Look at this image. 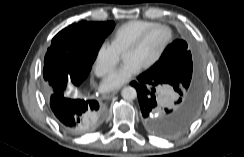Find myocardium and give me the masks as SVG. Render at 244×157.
I'll return each instance as SVG.
<instances>
[{"label": "myocardium", "mask_w": 244, "mask_h": 157, "mask_svg": "<svg viewBox=\"0 0 244 157\" xmlns=\"http://www.w3.org/2000/svg\"><path fill=\"white\" fill-rule=\"evenodd\" d=\"M157 29H163L167 32V39L163 45V47L161 48V50L159 51V53L147 64H145L144 66L141 67L142 70H148L151 69L152 67H154L156 64H158L161 59L164 57L165 53L167 52L168 48L170 47L171 43L173 42L174 39V34L172 29L167 26V25H163V24H156L146 30H144L143 32H141L124 50L123 54L125 52L128 51H132L137 49L138 47L141 46V44L144 42V40L146 39V37L152 33L153 31L157 30Z\"/></svg>", "instance_id": "obj_1"}]
</instances>
